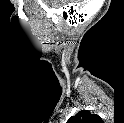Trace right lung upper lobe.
I'll use <instances>...</instances> for the list:
<instances>
[{
  "label": "right lung upper lobe",
  "mask_w": 124,
  "mask_h": 123,
  "mask_svg": "<svg viewBox=\"0 0 124 123\" xmlns=\"http://www.w3.org/2000/svg\"><path fill=\"white\" fill-rule=\"evenodd\" d=\"M98 121H102L98 115L87 110H81L75 116L69 118L67 123H93Z\"/></svg>",
  "instance_id": "1"
}]
</instances>
